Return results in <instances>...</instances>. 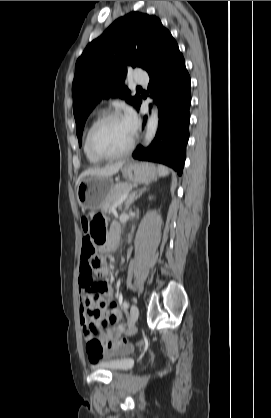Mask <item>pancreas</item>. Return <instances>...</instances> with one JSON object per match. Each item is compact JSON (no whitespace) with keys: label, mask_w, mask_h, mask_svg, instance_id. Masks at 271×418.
Segmentation results:
<instances>
[{"label":"pancreas","mask_w":271,"mask_h":418,"mask_svg":"<svg viewBox=\"0 0 271 418\" xmlns=\"http://www.w3.org/2000/svg\"><path fill=\"white\" fill-rule=\"evenodd\" d=\"M131 183H117L108 194L104 204L101 207L102 212H110L111 208L119 201L122 195L132 189Z\"/></svg>","instance_id":"cf45deb5"}]
</instances>
